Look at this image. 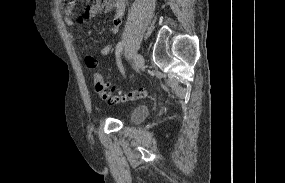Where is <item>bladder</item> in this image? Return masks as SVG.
Masks as SVG:
<instances>
[{
    "label": "bladder",
    "instance_id": "bladder-1",
    "mask_svg": "<svg viewBox=\"0 0 285 183\" xmlns=\"http://www.w3.org/2000/svg\"><path fill=\"white\" fill-rule=\"evenodd\" d=\"M149 111L144 106H137L132 109L129 120L132 123H140L142 122L148 115Z\"/></svg>",
    "mask_w": 285,
    "mask_h": 183
}]
</instances>
